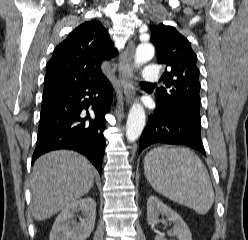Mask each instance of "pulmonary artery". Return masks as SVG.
<instances>
[{
  "instance_id": "1",
  "label": "pulmonary artery",
  "mask_w": 248,
  "mask_h": 240,
  "mask_svg": "<svg viewBox=\"0 0 248 240\" xmlns=\"http://www.w3.org/2000/svg\"><path fill=\"white\" fill-rule=\"evenodd\" d=\"M142 79L148 83H156L160 79L159 69L153 65L147 66L142 73Z\"/></svg>"
}]
</instances>
